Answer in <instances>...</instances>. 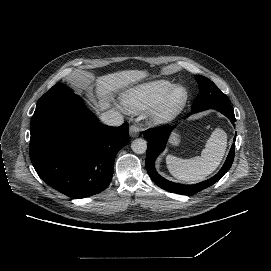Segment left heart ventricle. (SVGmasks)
<instances>
[{
    "label": "left heart ventricle",
    "instance_id": "1",
    "mask_svg": "<svg viewBox=\"0 0 271 271\" xmlns=\"http://www.w3.org/2000/svg\"><path fill=\"white\" fill-rule=\"evenodd\" d=\"M182 94V92H179V96Z\"/></svg>",
    "mask_w": 271,
    "mask_h": 271
}]
</instances>
